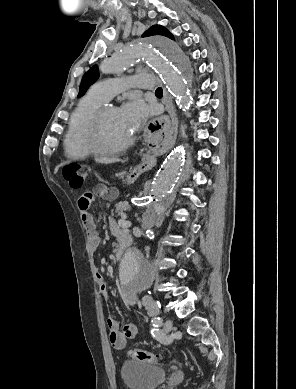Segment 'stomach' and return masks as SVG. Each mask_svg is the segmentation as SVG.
I'll use <instances>...</instances> for the list:
<instances>
[{
  "instance_id": "1",
  "label": "stomach",
  "mask_w": 296,
  "mask_h": 389,
  "mask_svg": "<svg viewBox=\"0 0 296 389\" xmlns=\"http://www.w3.org/2000/svg\"><path fill=\"white\" fill-rule=\"evenodd\" d=\"M143 176V173L137 168H130L126 172L127 182L131 186H136L140 182V177Z\"/></svg>"
}]
</instances>
